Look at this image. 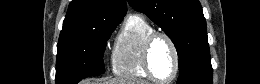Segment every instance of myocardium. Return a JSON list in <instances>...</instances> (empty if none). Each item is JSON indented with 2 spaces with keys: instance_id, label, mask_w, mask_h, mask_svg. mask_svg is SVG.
<instances>
[{
  "instance_id": "myocardium-1",
  "label": "myocardium",
  "mask_w": 260,
  "mask_h": 84,
  "mask_svg": "<svg viewBox=\"0 0 260 84\" xmlns=\"http://www.w3.org/2000/svg\"><path fill=\"white\" fill-rule=\"evenodd\" d=\"M157 38H164L170 45L174 55V71L168 80L158 79L151 67V50ZM143 67L148 77L156 83L169 84L172 83L178 76L180 71V55L175 41L172 37L164 31H152L145 39L143 44Z\"/></svg>"
}]
</instances>
